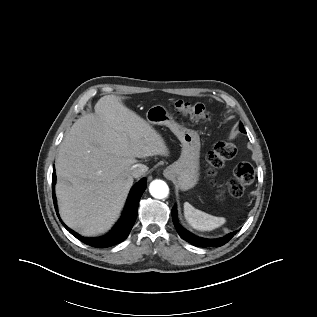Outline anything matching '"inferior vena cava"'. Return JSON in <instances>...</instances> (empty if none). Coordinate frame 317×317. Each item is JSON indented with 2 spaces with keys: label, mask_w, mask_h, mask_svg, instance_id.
Wrapping results in <instances>:
<instances>
[{
  "label": "inferior vena cava",
  "mask_w": 317,
  "mask_h": 317,
  "mask_svg": "<svg viewBox=\"0 0 317 317\" xmlns=\"http://www.w3.org/2000/svg\"><path fill=\"white\" fill-rule=\"evenodd\" d=\"M148 170V167L144 164H135L130 168V175L132 177H141L143 176Z\"/></svg>",
  "instance_id": "602c4592"
}]
</instances>
